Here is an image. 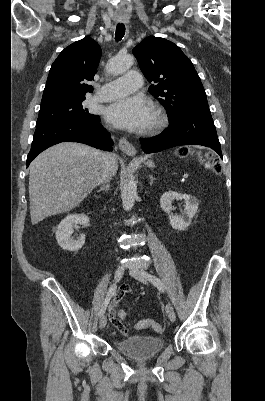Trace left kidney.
<instances>
[{"mask_svg": "<svg viewBox=\"0 0 265 401\" xmlns=\"http://www.w3.org/2000/svg\"><path fill=\"white\" fill-rule=\"evenodd\" d=\"M174 198H177V201H181V198H184L186 203L185 209L182 215H173V207L171 205ZM160 205L162 211L164 213H168L170 217V225L173 229H177V231H185L189 225L192 223V219L194 215H196L198 211V198L196 196H192V194H186V192H175V190H168V192H164L160 198Z\"/></svg>", "mask_w": 265, "mask_h": 401, "instance_id": "obj_1", "label": "left kidney"}]
</instances>
